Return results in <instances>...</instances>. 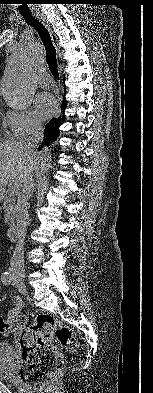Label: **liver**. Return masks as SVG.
Listing matches in <instances>:
<instances>
[{
  "instance_id": "1",
  "label": "liver",
  "mask_w": 153,
  "mask_h": 393,
  "mask_svg": "<svg viewBox=\"0 0 153 393\" xmlns=\"http://www.w3.org/2000/svg\"><path fill=\"white\" fill-rule=\"evenodd\" d=\"M37 169V154L30 153L23 141L0 144V192L14 179L24 183Z\"/></svg>"
}]
</instances>
